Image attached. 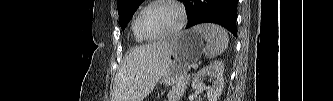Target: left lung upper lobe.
Returning a JSON list of instances; mask_svg holds the SVG:
<instances>
[{"instance_id":"obj_1","label":"left lung upper lobe","mask_w":333,"mask_h":101,"mask_svg":"<svg viewBox=\"0 0 333 101\" xmlns=\"http://www.w3.org/2000/svg\"><path fill=\"white\" fill-rule=\"evenodd\" d=\"M144 0H118L117 8L119 14V23L122 29H125L127 23L132 18L138 6ZM183 1V0H180Z\"/></svg>"}]
</instances>
